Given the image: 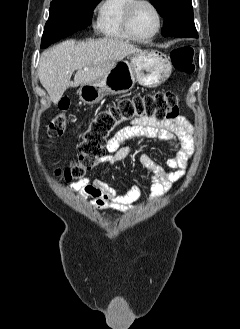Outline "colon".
<instances>
[{
	"instance_id": "colon-1",
	"label": "colon",
	"mask_w": 240,
	"mask_h": 329,
	"mask_svg": "<svg viewBox=\"0 0 240 329\" xmlns=\"http://www.w3.org/2000/svg\"><path fill=\"white\" fill-rule=\"evenodd\" d=\"M173 68L182 73H192L195 69V57L192 47L175 48L170 54ZM179 95L173 91L135 95L121 100L115 105L100 111L84 131L77 148V159L70 166L58 170L57 175L66 182L78 180L95 167L103 156L107 138L120 124L133 122L141 118L171 120L179 115ZM69 100L59 103L60 114L49 124L48 135L51 139L60 137L67 125L65 112Z\"/></svg>"
}]
</instances>
